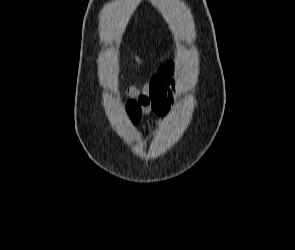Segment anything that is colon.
<instances>
[{"mask_svg": "<svg viewBox=\"0 0 295 250\" xmlns=\"http://www.w3.org/2000/svg\"><path fill=\"white\" fill-rule=\"evenodd\" d=\"M126 110L130 116V118L136 122L141 117V106L135 100H130L126 104Z\"/></svg>", "mask_w": 295, "mask_h": 250, "instance_id": "1", "label": "colon"}]
</instances>
